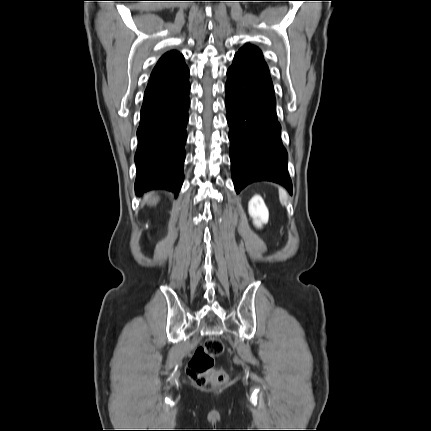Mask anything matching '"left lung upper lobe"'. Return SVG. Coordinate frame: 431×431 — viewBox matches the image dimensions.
I'll return each instance as SVG.
<instances>
[{
    "label": "left lung upper lobe",
    "mask_w": 431,
    "mask_h": 431,
    "mask_svg": "<svg viewBox=\"0 0 431 431\" xmlns=\"http://www.w3.org/2000/svg\"><path fill=\"white\" fill-rule=\"evenodd\" d=\"M233 64L240 67L257 68L269 73L262 52L255 46L245 45L242 47L235 55Z\"/></svg>",
    "instance_id": "1"
}]
</instances>
